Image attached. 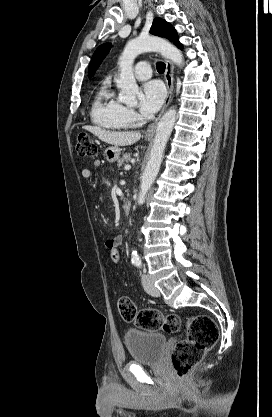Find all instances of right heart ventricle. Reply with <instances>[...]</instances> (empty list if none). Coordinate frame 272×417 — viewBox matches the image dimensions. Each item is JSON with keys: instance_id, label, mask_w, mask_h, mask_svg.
<instances>
[{"instance_id": "right-heart-ventricle-1", "label": "right heart ventricle", "mask_w": 272, "mask_h": 417, "mask_svg": "<svg viewBox=\"0 0 272 417\" xmlns=\"http://www.w3.org/2000/svg\"><path fill=\"white\" fill-rule=\"evenodd\" d=\"M91 119L94 124L107 130H122L130 126L124 118L123 105L115 98L108 84L101 86L96 93Z\"/></svg>"}]
</instances>
